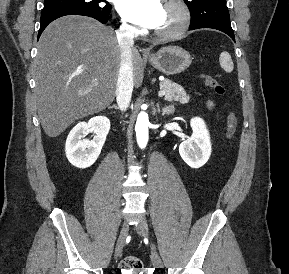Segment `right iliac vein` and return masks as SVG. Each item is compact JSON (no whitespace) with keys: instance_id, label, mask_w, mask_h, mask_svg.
I'll return each instance as SVG.
<instances>
[{"instance_id":"63e3f726","label":"right iliac vein","mask_w":289,"mask_h":274,"mask_svg":"<svg viewBox=\"0 0 289 274\" xmlns=\"http://www.w3.org/2000/svg\"><path fill=\"white\" fill-rule=\"evenodd\" d=\"M128 231H129V227L125 223L121 228L120 234H119L117 242H116V247H115V257L116 258L118 256H120V254L123 250V247H124L127 235H128Z\"/></svg>"}]
</instances>
